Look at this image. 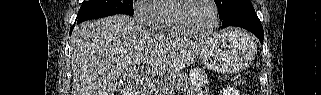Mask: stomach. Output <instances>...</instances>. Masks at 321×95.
<instances>
[{
  "instance_id": "0dacf381",
  "label": "stomach",
  "mask_w": 321,
  "mask_h": 95,
  "mask_svg": "<svg viewBox=\"0 0 321 95\" xmlns=\"http://www.w3.org/2000/svg\"><path fill=\"white\" fill-rule=\"evenodd\" d=\"M257 46L253 37L238 29H228L211 39L199 53L202 64L220 73H234L254 59Z\"/></svg>"
}]
</instances>
